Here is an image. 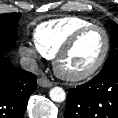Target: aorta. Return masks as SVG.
Listing matches in <instances>:
<instances>
[{
	"mask_svg": "<svg viewBox=\"0 0 118 118\" xmlns=\"http://www.w3.org/2000/svg\"><path fill=\"white\" fill-rule=\"evenodd\" d=\"M49 96L54 102H63L66 98L65 91L61 87H53L49 91Z\"/></svg>",
	"mask_w": 118,
	"mask_h": 118,
	"instance_id": "762f6f07",
	"label": "aorta"
}]
</instances>
